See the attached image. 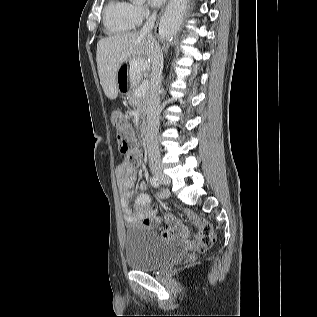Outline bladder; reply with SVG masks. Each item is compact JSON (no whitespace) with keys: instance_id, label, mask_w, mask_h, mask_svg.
I'll use <instances>...</instances> for the list:
<instances>
[{"instance_id":"1","label":"bladder","mask_w":317,"mask_h":317,"mask_svg":"<svg viewBox=\"0 0 317 317\" xmlns=\"http://www.w3.org/2000/svg\"><path fill=\"white\" fill-rule=\"evenodd\" d=\"M178 245L163 241L149 233L143 226L128 228L124 236L126 265L133 270L154 271L177 257Z\"/></svg>"}]
</instances>
